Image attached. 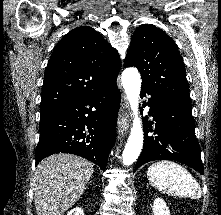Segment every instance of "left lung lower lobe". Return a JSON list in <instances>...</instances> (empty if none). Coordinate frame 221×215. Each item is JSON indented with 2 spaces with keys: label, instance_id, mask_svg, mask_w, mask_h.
Masks as SVG:
<instances>
[{
  "label": "left lung lower lobe",
  "instance_id": "obj_1",
  "mask_svg": "<svg viewBox=\"0 0 221 215\" xmlns=\"http://www.w3.org/2000/svg\"><path fill=\"white\" fill-rule=\"evenodd\" d=\"M150 95L146 105L149 115L155 121L152 127L144 120V145L136 168L153 160H175L184 163L203 174L199 143L195 137L191 105L177 103L151 93L142 87L141 98ZM149 125V129H148Z\"/></svg>",
  "mask_w": 221,
  "mask_h": 215
}]
</instances>
